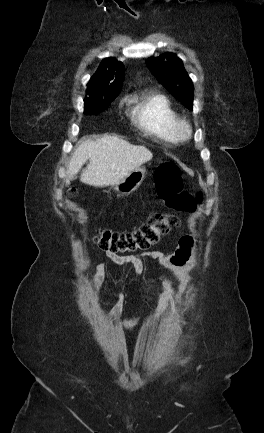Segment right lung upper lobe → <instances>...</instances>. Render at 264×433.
Masks as SVG:
<instances>
[{
  "label": "right lung upper lobe",
  "mask_w": 264,
  "mask_h": 433,
  "mask_svg": "<svg viewBox=\"0 0 264 433\" xmlns=\"http://www.w3.org/2000/svg\"><path fill=\"white\" fill-rule=\"evenodd\" d=\"M124 75L125 70L121 62L112 57L104 59L88 83L89 97L85 100L116 97L122 88Z\"/></svg>",
  "instance_id": "obj_1"
}]
</instances>
